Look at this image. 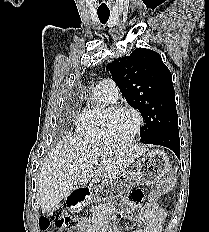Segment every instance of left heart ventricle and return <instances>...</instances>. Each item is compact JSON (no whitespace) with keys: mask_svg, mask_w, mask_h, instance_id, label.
<instances>
[{"mask_svg":"<svg viewBox=\"0 0 209 232\" xmlns=\"http://www.w3.org/2000/svg\"><path fill=\"white\" fill-rule=\"evenodd\" d=\"M136 124L137 120L132 112L120 111L111 119V131L116 137H127L133 133Z\"/></svg>","mask_w":209,"mask_h":232,"instance_id":"b2bd125f","label":"left heart ventricle"}]
</instances>
